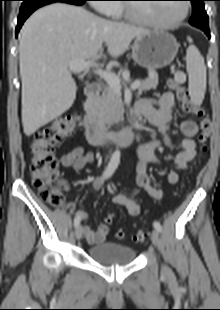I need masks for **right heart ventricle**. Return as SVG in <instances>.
Returning a JSON list of instances; mask_svg holds the SVG:
<instances>
[{"label": "right heart ventricle", "instance_id": "1", "mask_svg": "<svg viewBox=\"0 0 220 310\" xmlns=\"http://www.w3.org/2000/svg\"><path fill=\"white\" fill-rule=\"evenodd\" d=\"M115 7L116 8L112 10L111 15L115 17H122L123 15L122 7L120 5L118 7L115 5Z\"/></svg>", "mask_w": 220, "mask_h": 310}]
</instances>
